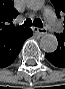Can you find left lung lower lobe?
<instances>
[{"mask_svg": "<svg viewBox=\"0 0 65 89\" xmlns=\"http://www.w3.org/2000/svg\"><path fill=\"white\" fill-rule=\"evenodd\" d=\"M58 40V48L53 53H46L45 57L53 65L65 68V33L56 34Z\"/></svg>", "mask_w": 65, "mask_h": 89, "instance_id": "1", "label": "left lung lower lobe"}]
</instances>
